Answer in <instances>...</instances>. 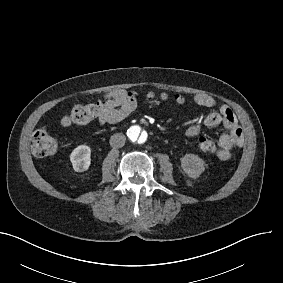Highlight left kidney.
Wrapping results in <instances>:
<instances>
[{
    "instance_id": "left-kidney-1",
    "label": "left kidney",
    "mask_w": 283,
    "mask_h": 283,
    "mask_svg": "<svg viewBox=\"0 0 283 283\" xmlns=\"http://www.w3.org/2000/svg\"><path fill=\"white\" fill-rule=\"evenodd\" d=\"M181 161L183 170L191 177H198L204 171V161L196 155L186 154Z\"/></svg>"
}]
</instances>
